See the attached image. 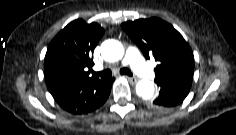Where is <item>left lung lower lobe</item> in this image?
Masks as SVG:
<instances>
[{"instance_id":"obj_1","label":"left lung lower lobe","mask_w":236,"mask_h":135,"mask_svg":"<svg viewBox=\"0 0 236 135\" xmlns=\"http://www.w3.org/2000/svg\"><path fill=\"white\" fill-rule=\"evenodd\" d=\"M160 88L158 97L152 101L157 108H172L183 102L192 85L190 78H169L155 81Z\"/></svg>"}]
</instances>
